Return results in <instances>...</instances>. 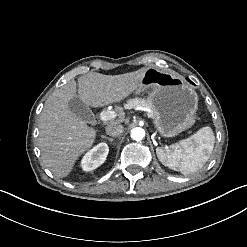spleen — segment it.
<instances>
[{"label": "spleen", "instance_id": "1", "mask_svg": "<svg viewBox=\"0 0 247 247\" xmlns=\"http://www.w3.org/2000/svg\"><path fill=\"white\" fill-rule=\"evenodd\" d=\"M215 145V134L211 127H204L194 136L170 150L157 149V157L163 165L189 175L201 170L209 160Z\"/></svg>", "mask_w": 247, "mask_h": 247}]
</instances>
